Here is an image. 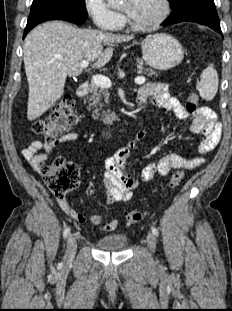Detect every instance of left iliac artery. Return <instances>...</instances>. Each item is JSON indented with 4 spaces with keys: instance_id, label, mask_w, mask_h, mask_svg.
Here are the masks:
<instances>
[{
    "instance_id": "obj_1",
    "label": "left iliac artery",
    "mask_w": 232,
    "mask_h": 311,
    "mask_svg": "<svg viewBox=\"0 0 232 311\" xmlns=\"http://www.w3.org/2000/svg\"><path fill=\"white\" fill-rule=\"evenodd\" d=\"M151 230H152V233H153L155 236H158V235H159V231H158L157 228L152 227Z\"/></svg>"
}]
</instances>
